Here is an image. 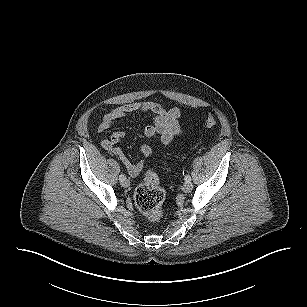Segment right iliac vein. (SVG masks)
<instances>
[{
  "instance_id": "1",
  "label": "right iliac vein",
  "mask_w": 307,
  "mask_h": 307,
  "mask_svg": "<svg viewBox=\"0 0 307 307\" xmlns=\"http://www.w3.org/2000/svg\"><path fill=\"white\" fill-rule=\"evenodd\" d=\"M121 185L124 187V188H128L130 186V181L128 179H123L121 181Z\"/></svg>"
}]
</instances>
